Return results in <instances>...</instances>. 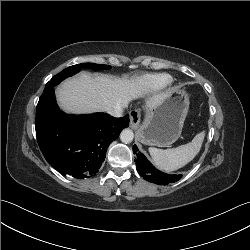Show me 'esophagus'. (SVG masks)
<instances>
[{"label": "esophagus", "instance_id": "1", "mask_svg": "<svg viewBox=\"0 0 250 250\" xmlns=\"http://www.w3.org/2000/svg\"><path fill=\"white\" fill-rule=\"evenodd\" d=\"M129 117H130V127L134 130L137 129L141 120L140 110H132L129 113Z\"/></svg>", "mask_w": 250, "mask_h": 250}]
</instances>
